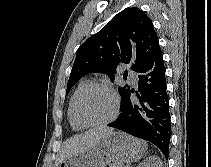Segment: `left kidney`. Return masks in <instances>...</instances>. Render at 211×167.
<instances>
[{"label":"left kidney","mask_w":211,"mask_h":167,"mask_svg":"<svg viewBox=\"0 0 211 167\" xmlns=\"http://www.w3.org/2000/svg\"><path fill=\"white\" fill-rule=\"evenodd\" d=\"M137 167H163L161 160L157 156H151L141 162Z\"/></svg>","instance_id":"1"}]
</instances>
